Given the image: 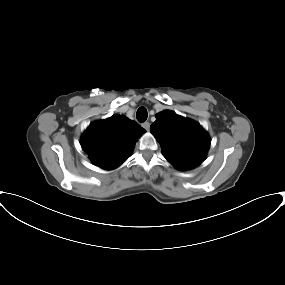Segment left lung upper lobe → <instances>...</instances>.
Wrapping results in <instances>:
<instances>
[{
	"instance_id": "5c2ea615",
	"label": "left lung upper lobe",
	"mask_w": 285,
	"mask_h": 285,
	"mask_svg": "<svg viewBox=\"0 0 285 285\" xmlns=\"http://www.w3.org/2000/svg\"><path fill=\"white\" fill-rule=\"evenodd\" d=\"M150 131L164 157L177 169L190 170L205 160L210 138L199 123L164 110L156 115Z\"/></svg>"
}]
</instances>
